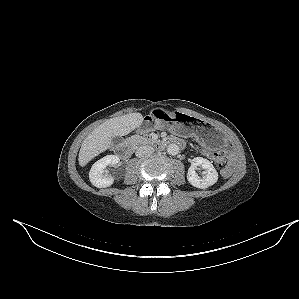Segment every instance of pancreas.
<instances>
[{
	"mask_svg": "<svg viewBox=\"0 0 299 299\" xmlns=\"http://www.w3.org/2000/svg\"><path fill=\"white\" fill-rule=\"evenodd\" d=\"M128 141L133 145H140V144H147L151 142V139L147 136H140V135H133L131 136Z\"/></svg>",
	"mask_w": 299,
	"mask_h": 299,
	"instance_id": "pancreas-1",
	"label": "pancreas"
}]
</instances>
